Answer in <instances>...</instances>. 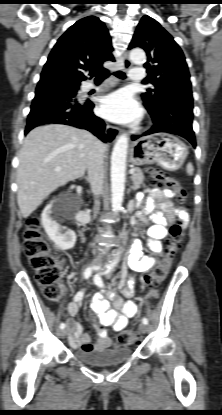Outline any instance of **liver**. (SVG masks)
<instances>
[{
	"mask_svg": "<svg viewBox=\"0 0 222 415\" xmlns=\"http://www.w3.org/2000/svg\"><path fill=\"white\" fill-rule=\"evenodd\" d=\"M96 141L88 131L62 124L40 126L29 132L17 169V202L23 218L30 216L58 187L84 175Z\"/></svg>",
	"mask_w": 222,
	"mask_h": 415,
	"instance_id": "1",
	"label": "liver"
}]
</instances>
